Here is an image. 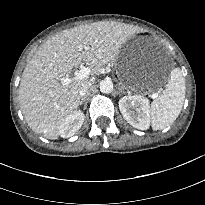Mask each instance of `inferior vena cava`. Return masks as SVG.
Returning a JSON list of instances; mask_svg holds the SVG:
<instances>
[{
  "instance_id": "1",
  "label": "inferior vena cava",
  "mask_w": 205,
  "mask_h": 205,
  "mask_svg": "<svg viewBox=\"0 0 205 205\" xmlns=\"http://www.w3.org/2000/svg\"><path fill=\"white\" fill-rule=\"evenodd\" d=\"M94 87V80H87L82 83L79 89V95L81 97H85L89 91H91Z\"/></svg>"
}]
</instances>
